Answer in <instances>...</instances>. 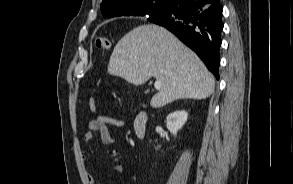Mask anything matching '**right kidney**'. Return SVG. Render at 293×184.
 I'll use <instances>...</instances> for the list:
<instances>
[{"instance_id":"1","label":"right kidney","mask_w":293,"mask_h":184,"mask_svg":"<svg viewBox=\"0 0 293 184\" xmlns=\"http://www.w3.org/2000/svg\"><path fill=\"white\" fill-rule=\"evenodd\" d=\"M187 118L188 113L185 110L170 113L166 117L167 129L171 132V134L176 136L177 132L183 127V125L187 121Z\"/></svg>"}]
</instances>
